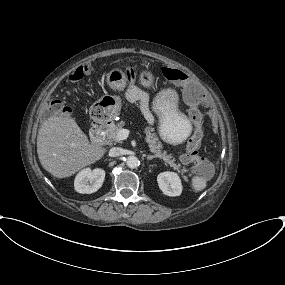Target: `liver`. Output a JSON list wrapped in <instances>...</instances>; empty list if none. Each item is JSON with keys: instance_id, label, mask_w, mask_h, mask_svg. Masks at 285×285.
<instances>
[{"instance_id": "6515ba94", "label": "liver", "mask_w": 285, "mask_h": 285, "mask_svg": "<svg viewBox=\"0 0 285 285\" xmlns=\"http://www.w3.org/2000/svg\"><path fill=\"white\" fill-rule=\"evenodd\" d=\"M103 144H92L76 121L67 114L51 116L39 129L37 153L42 167L55 178L70 177L100 160Z\"/></svg>"}]
</instances>
